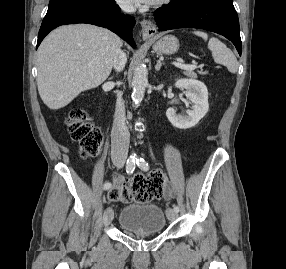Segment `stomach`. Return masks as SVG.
I'll use <instances>...</instances> for the list:
<instances>
[{
  "instance_id": "obj_1",
  "label": "stomach",
  "mask_w": 286,
  "mask_h": 269,
  "mask_svg": "<svg viewBox=\"0 0 286 269\" xmlns=\"http://www.w3.org/2000/svg\"><path fill=\"white\" fill-rule=\"evenodd\" d=\"M153 49L157 53L172 55L179 49V41L172 35H166L153 44Z\"/></svg>"
}]
</instances>
